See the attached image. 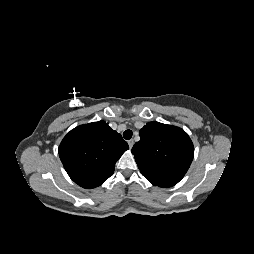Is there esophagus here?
Listing matches in <instances>:
<instances>
[{"mask_svg": "<svg viewBox=\"0 0 254 254\" xmlns=\"http://www.w3.org/2000/svg\"><path fill=\"white\" fill-rule=\"evenodd\" d=\"M128 145H129V147L131 149L133 147V145H134V140L133 139L129 140L128 141Z\"/></svg>", "mask_w": 254, "mask_h": 254, "instance_id": "34e87169", "label": "esophagus"}]
</instances>
